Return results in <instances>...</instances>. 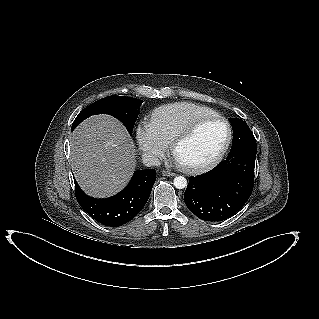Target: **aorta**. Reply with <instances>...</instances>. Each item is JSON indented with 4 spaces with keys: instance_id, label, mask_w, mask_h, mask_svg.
I'll return each instance as SVG.
<instances>
[{
    "instance_id": "aorta-1",
    "label": "aorta",
    "mask_w": 319,
    "mask_h": 319,
    "mask_svg": "<svg viewBox=\"0 0 319 319\" xmlns=\"http://www.w3.org/2000/svg\"><path fill=\"white\" fill-rule=\"evenodd\" d=\"M173 184L177 189H184L187 186V180L183 176H177L174 178Z\"/></svg>"
}]
</instances>
